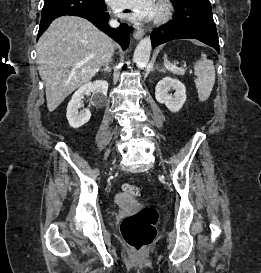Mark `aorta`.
Instances as JSON below:
<instances>
[{
  "label": "aorta",
  "instance_id": "762f6f07",
  "mask_svg": "<svg viewBox=\"0 0 261 273\" xmlns=\"http://www.w3.org/2000/svg\"><path fill=\"white\" fill-rule=\"evenodd\" d=\"M151 49L152 44L149 37H146L139 42L133 55V61L138 67H144L148 64L151 55Z\"/></svg>",
  "mask_w": 261,
  "mask_h": 273
}]
</instances>
